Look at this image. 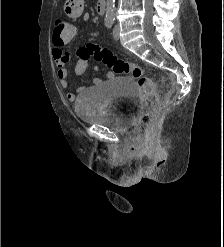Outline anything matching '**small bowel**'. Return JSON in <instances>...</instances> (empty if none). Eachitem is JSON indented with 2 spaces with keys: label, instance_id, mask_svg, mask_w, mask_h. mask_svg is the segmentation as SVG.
<instances>
[{
  "label": "small bowel",
  "instance_id": "obj_1",
  "mask_svg": "<svg viewBox=\"0 0 224 247\" xmlns=\"http://www.w3.org/2000/svg\"><path fill=\"white\" fill-rule=\"evenodd\" d=\"M65 12L73 18H81L84 22L90 20V14L83 10V0H66L64 6ZM67 42H61L53 39L54 48L52 51L53 59L57 64V76L62 88L69 86L68 72L65 64L68 62L69 54L63 50V46ZM80 71V69H79ZM66 98L68 101L73 102L76 96L73 93H67Z\"/></svg>",
  "mask_w": 224,
  "mask_h": 247
}]
</instances>
